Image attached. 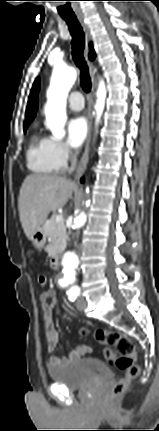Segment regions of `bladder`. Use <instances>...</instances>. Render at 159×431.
<instances>
[{
  "label": "bladder",
  "instance_id": "1",
  "mask_svg": "<svg viewBox=\"0 0 159 431\" xmlns=\"http://www.w3.org/2000/svg\"><path fill=\"white\" fill-rule=\"evenodd\" d=\"M48 375L52 382L77 390L109 378L111 370L99 360L83 358L65 366L49 367Z\"/></svg>",
  "mask_w": 159,
  "mask_h": 431
}]
</instances>
